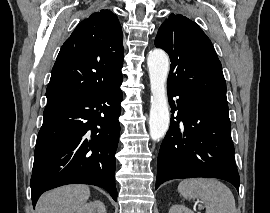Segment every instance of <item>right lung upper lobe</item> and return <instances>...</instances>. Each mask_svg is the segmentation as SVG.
I'll use <instances>...</instances> for the list:
<instances>
[{"label": "right lung upper lobe", "mask_w": 270, "mask_h": 213, "mask_svg": "<svg viewBox=\"0 0 270 213\" xmlns=\"http://www.w3.org/2000/svg\"><path fill=\"white\" fill-rule=\"evenodd\" d=\"M122 40L120 23L110 10L79 23L53 66L47 104L85 98L121 83Z\"/></svg>", "instance_id": "right-lung-upper-lobe-1"}]
</instances>
